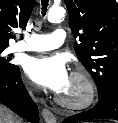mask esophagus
I'll return each mask as SVG.
<instances>
[{"mask_svg": "<svg viewBox=\"0 0 118 123\" xmlns=\"http://www.w3.org/2000/svg\"><path fill=\"white\" fill-rule=\"evenodd\" d=\"M42 116L47 123H56L55 115L47 108L42 110Z\"/></svg>", "mask_w": 118, "mask_h": 123, "instance_id": "34e87169", "label": "esophagus"}]
</instances>
